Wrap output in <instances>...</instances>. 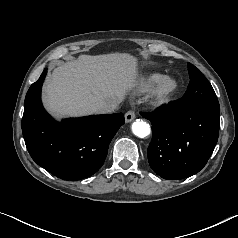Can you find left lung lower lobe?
<instances>
[{"label": "left lung lower lobe", "mask_w": 238, "mask_h": 238, "mask_svg": "<svg viewBox=\"0 0 238 238\" xmlns=\"http://www.w3.org/2000/svg\"><path fill=\"white\" fill-rule=\"evenodd\" d=\"M143 117L152 122L148 161L157 175L178 180L198 173L205 166L218 140V102L182 110L177 100Z\"/></svg>", "instance_id": "left-lung-lower-lobe-1"}]
</instances>
